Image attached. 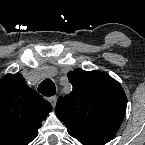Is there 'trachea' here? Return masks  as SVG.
I'll list each match as a JSON object with an SVG mask.
<instances>
[{
	"label": "trachea",
	"mask_w": 145,
	"mask_h": 145,
	"mask_svg": "<svg viewBox=\"0 0 145 145\" xmlns=\"http://www.w3.org/2000/svg\"><path fill=\"white\" fill-rule=\"evenodd\" d=\"M38 91L44 96H53L56 93L55 84L51 79H46L39 84Z\"/></svg>",
	"instance_id": "1"
}]
</instances>
